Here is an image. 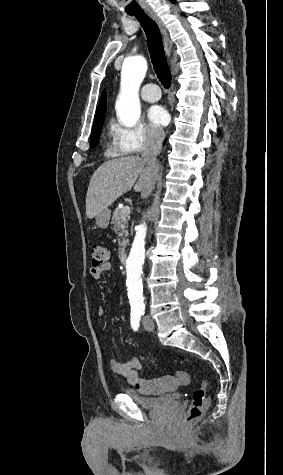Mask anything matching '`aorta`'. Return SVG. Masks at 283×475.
<instances>
[{
	"mask_svg": "<svg viewBox=\"0 0 283 475\" xmlns=\"http://www.w3.org/2000/svg\"><path fill=\"white\" fill-rule=\"evenodd\" d=\"M147 71L143 56L127 57L122 65L120 93L116 102L119 121L126 127L134 126L140 118L139 88ZM154 220L144 215L134 227L135 237L126 261V285L132 308H143L142 274L145 248L154 229Z\"/></svg>",
	"mask_w": 283,
	"mask_h": 475,
	"instance_id": "1",
	"label": "aorta"
}]
</instances>
